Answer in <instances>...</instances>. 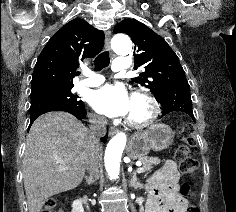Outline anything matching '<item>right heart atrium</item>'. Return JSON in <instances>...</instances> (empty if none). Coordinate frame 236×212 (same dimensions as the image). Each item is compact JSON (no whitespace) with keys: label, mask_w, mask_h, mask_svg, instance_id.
<instances>
[{"label":"right heart atrium","mask_w":236,"mask_h":212,"mask_svg":"<svg viewBox=\"0 0 236 212\" xmlns=\"http://www.w3.org/2000/svg\"><path fill=\"white\" fill-rule=\"evenodd\" d=\"M91 120H92L93 122H96V123H99V122L102 121V119H101L98 115H96V114H92V115H91Z\"/></svg>","instance_id":"right-heart-atrium-1"}]
</instances>
